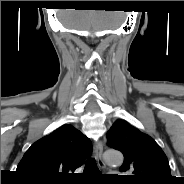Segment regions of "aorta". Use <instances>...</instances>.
<instances>
[{"label": "aorta", "instance_id": "obj_1", "mask_svg": "<svg viewBox=\"0 0 184 184\" xmlns=\"http://www.w3.org/2000/svg\"><path fill=\"white\" fill-rule=\"evenodd\" d=\"M104 158L109 165H121L123 162V155L116 150H108L104 153Z\"/></svg>", "mask_w": 184, "mask_h": 184}]
</instances>
